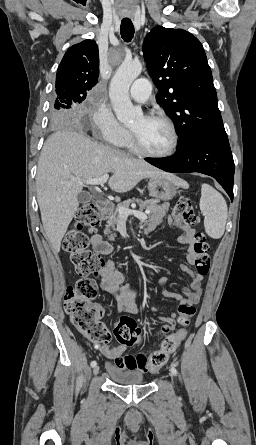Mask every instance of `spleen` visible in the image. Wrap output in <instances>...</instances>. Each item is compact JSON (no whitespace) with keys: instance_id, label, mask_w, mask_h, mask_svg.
Masks as SVG:
<instances>
[{"instance_id":"3e777b00","label":"spleen","mask_w":256,"mask_h":445,"mask_svg":"<svg viewBox=\"0 0 256 445\" xmlns=\"http://www.w3.org/2000/svg\"><path fill=\"white\" fill-rule=\"evenodd\" d=\"M200 210L204 215L206 233L214 238H221L227 221V204L223 196L208 184L201 186Z\"/></svg>"}]
</instances>
